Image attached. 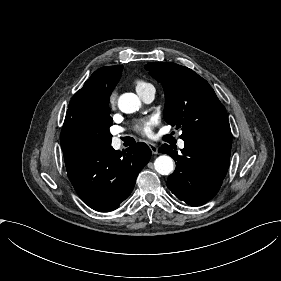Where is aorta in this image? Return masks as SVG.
Listing matches in <instances>:
<instances>
[{"label": "aorta", "instance_id": "obj_1", "mask_svg": "<svg viewBox=\"0 0 281 281\" xmlns=\"http://www.w3.org/2000/svg\"><path fill=\"white\" fill-rule=\"evenodd\" d=\"M140 106V99L133 93H124L118 99L119 109L127 114L138 111ZM154 168L161 175H169L174 170V161L168 155H161L155 159Z\"/></svg>", "mask_w": 281, "mask_h": 281}]
</instances>
